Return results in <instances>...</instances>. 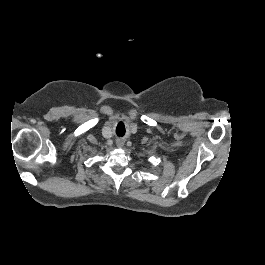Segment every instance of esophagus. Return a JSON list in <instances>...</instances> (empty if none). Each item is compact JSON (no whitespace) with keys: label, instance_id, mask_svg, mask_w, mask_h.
I'll use <instances>...</instances> for the list:
<instances>
[{"label":"esophagus","instance_id":"esophagus-1","mask_svg":"<svg viewBox=\"0 0 265 265\" xmlns=\"http://www.w3.org/2000/svg\"><path fill=\"white\" fill-rule=\"evenodd\" d=\"M124 143H125V140L123 138H118L116 140L117 147H122L124 145Z\"/></svg>","mask_w":265,"mask_h":265}]
</instances>
